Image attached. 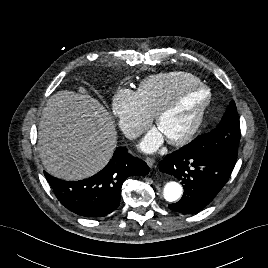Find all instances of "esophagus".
I'll return each instance as SVG.
<instances>
[{"mask_svg": "<svg viewBox=\"0 0 268 268\" xmlns=\"http://www.w3.org/2000/svg\"><path fill=\"white\" fill-rule=\"evenodd\" d=\"M145 162L150 168H152L155 163V160L152 157H147L145 159Z\"/></svg>", "mask_w": 268, "mask_h": 268, "instance_id": "esophagus-1", "label": "esophagus"}]
</instances>
